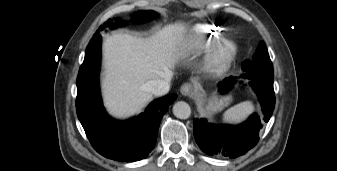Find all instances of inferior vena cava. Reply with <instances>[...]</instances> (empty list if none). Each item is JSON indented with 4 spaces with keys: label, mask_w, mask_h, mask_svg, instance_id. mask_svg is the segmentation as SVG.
I'll list each match as a JSON object with an SVG mask.
<instances>
[{
    "label": "inferior vena cava",
    "mask_w": 337,
    "mask_h": 171,
    "mask_svg": "<svg viewBox=\"0 0 337 171\" xmlns=\"http://www.w3.org/2000/svg\"><path fill=\"white\" fill-rule=\"evenodd\" d=\"M172 75L170 74L166 79L152 80L147 83V89L156 96H161L169 92L170 80Z\"/></svg>",
    "instance_id": "1"
}]
</instances>
